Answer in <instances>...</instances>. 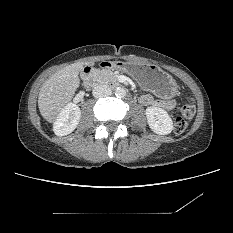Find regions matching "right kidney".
Wrapping results in <instances>:
<instances>
[{
    "label": "right kidney",
    "instance_id": "ca27d5eb",
    "mask_svg": "<svg viewBox=\"0 0 233 233\" xmlns=\"http://www.w3.org/2000/svg\"><path fill=\"white\" fill-rule=\"evenodd\" d=\"M81 117L78 105L68 103L54 122L53 131L57 136H65L72 133L77 127Z\"/></svg>",
    "mask_w": 233,
    "mask_h": 233
}]
</instances>
